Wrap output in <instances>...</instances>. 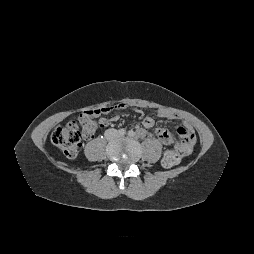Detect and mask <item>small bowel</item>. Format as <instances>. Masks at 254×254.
I'll return each instance as SVG.
<instances>
[{"instance_id":"c3829d8e","label":"small bowel","mask_w":254,"mask_h":254,"mask_svg":"<svg viewBox=\"0 0 254 254\" xmlns=\"http://www.w3.org/2000/svg\"><path fill=\"white\" fill-rule=\"evenodd\" d=\"M128 107H130V104L121 103L118 105L117 108L125 109ZM102 109H104V111L97 114L96 116H99L101 114H108L112 110V108H110V107H106V108H102ZM158 115L162 118H165V119H177L179 117L177 114H175L169 110H166V109L158 110ZM117 120H118V116H114L111 119L101 118L98 121V126L101 128H104V127L108 126L111 122H114ZM142 124L145 128L150 129V128L154 127L155 121L151 117H146L143 119ZM177 132L180 136L179 141H175V137H174L173 133L167 129L158 128L156 130L157 137L161 143H163L165 145L174 144V149L181 156L190 155L192 153L193 146L195 143V134H194L192 127L189 124L184 123L177 128ZM168 152L169 151L165 152V154L163 156V160ZM163 160H162V162H163ZM163 165L165 167H172V166L166 165L164 162H163Z\"/></svg>"}]
</instances>
